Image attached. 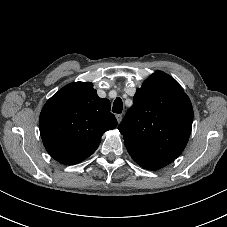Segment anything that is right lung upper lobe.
I'll use <instances>...</instances> for the list:
<instances>
[{"label": "right lung upper lobe", "mask_w": 227, "mask_h": 227, "mask_svg": "<svg viewBox=\"0 0 227 227\" xmlns=\"http://www.w3.org/2000/svg\"><path fill=\"white\" fill-rule=\"evenodd\" d=\"M110 101L89 82L71 83L44 105L39 119L43 144L56 161L77 164L98 148L101 136L117 126Z\"/></svg>", "instance_id": "cb5924a9"}]
</instances>
